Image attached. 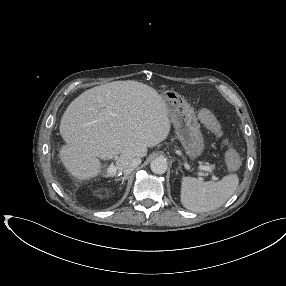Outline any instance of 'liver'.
I'll return each mask as SVG.
<instances>
[{
  "mask_svg": "<svg viewBox=\"0 0 286 286\" xmlns=\"http://www.w3.org/2000/svg\"><path fill=\"white\" fill-rule=\"evenodd\" d=\"M170 128L166 102L154 88L134 80L110 82L86 90L69 104L60 121L66 145L59 149V158L71 176L89 180L100 173L98 157L120 154V173L126 160L145 157Z\"/></svg>",
  "mask_w": 286,
  "mask_h": 286,
  "instance_id": "1",
  "label": "liver"
}]
</instances>
